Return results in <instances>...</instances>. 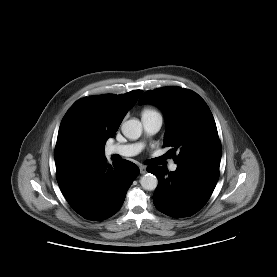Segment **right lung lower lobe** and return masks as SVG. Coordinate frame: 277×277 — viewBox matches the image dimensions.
Here are the masks:
<instances>
[{
	"label": "right lung lower lobe",
	"mask_w": 277,
	"mask_h": 277,
	"mask_svg": "<svg viewBox=\"0 0 277 277\" xmlns=\"http://www.w3.org/2000/svg\"><path fill=\"white\" fill-rule=\"evenodd\" d=\"M138 174V166L130 161L112 167L103 159L66 168L57 172L56 178L75 212L88 220L101 221L121 208Z\"/></svg>",
	"instance_id": "1"
}]
</instances>
